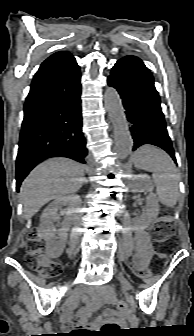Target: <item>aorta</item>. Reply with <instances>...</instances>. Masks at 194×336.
Returning a JSON list of instances; mask_svg holds the SVG:
<instances>
[{"instance_id": "aorta-1", "label": "aorta", "mask_w": 194, "mask_h": 336, "mask_svg": "<svg viewBox=\"0 0 194 336\" xmlns=\"http://www.w3.org/2000/svg\"><path fill=\"white\" fill-rule=\"evenodd\" d=\"M105 108L112 123L115 139V152L120 159H125L133 147L125 110L117 90L107 87L104 95Z\"/></svg>"}]
</instances>
